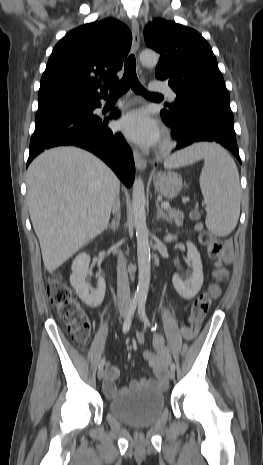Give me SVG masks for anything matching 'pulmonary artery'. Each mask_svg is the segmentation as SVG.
Returning <instances> with one entry per match:
<instances>
[{
	"label": "pulmonary artery",
	"instance_id": "obj_1",
	"mask_svg": "<svg viewBox=\"0 0 263 465\" xmlns=\"http://www.w3.org/2000/svg\"><path fill=\"white\" fill-rule=\"evenodd\" d=\"M150 88L152 91H158V92L165 93L171 99H174L176 97V93L167 85L152 84Z\"/></svg>",
	"mask_w": 263,
	"mask_h": 465
}]
</instances>
